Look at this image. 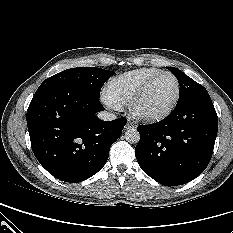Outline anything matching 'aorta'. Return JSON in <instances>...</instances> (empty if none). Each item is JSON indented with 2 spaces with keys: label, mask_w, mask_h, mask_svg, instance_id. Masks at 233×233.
Returning <instances> with one entry per match:
<instances>
[{
  "label": "aorta",
  "mask_w": 233,
  "mask_h": 233,
  "mask_svg": "<svg viewBox=\"0 0 233 233\" xmlns=\"http://www.w3.org/2000/svg\"><path fill=\"white\" fill-rule=\"evenodd\" d=\"M125 139L127 142L132 143V144L138 143L140 140V133L135 128H129L125 132Z\"/></svg>",
  "instance_id": "762f6f07"
}]
</instances>
